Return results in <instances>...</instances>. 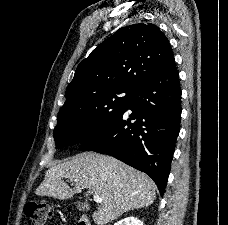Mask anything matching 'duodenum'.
Returning a JSON list of instances; mask_svg holds the SVG:
<instances>
[{"label": "duodenum", "instance_id": "duodenum-1", "mask_svg": "<svg viewBox=\"0 0 228 225\" xmlns=\"http://www.w3.org/2000/svg\"><path fill=\"white\" fill-rule=\"evenodd\" d=\"M77 225H91L88 216L86 214H81L77 221Z\"/></svg>", "mask_w": 228, "mask_h": 225}]
</instances>
